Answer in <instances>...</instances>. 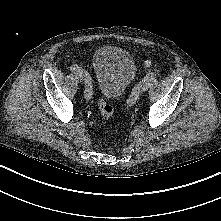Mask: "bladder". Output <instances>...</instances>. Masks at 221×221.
<instances>
[{"instance_id":"bladder-1","label":"bladder","mask_w":221,"mask_h":221,"mask_svg":"<svg viewBox=\"0 0 221 221\" xmlns=\"http://www.w3.org/2000/svg\"><path fill=\"white\" fill-rule=\"evenodd\" d=\"M92 63L99 90L107 100L122 96L136 74L133 57L120 47L108 45L97 49Z\"/></svg>"}]
</instances>
